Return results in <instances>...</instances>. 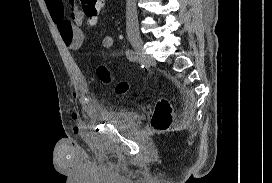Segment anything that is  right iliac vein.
<instances>
[{
    "instance_id": "1",
    "label": "right iliac vein",
    "mask_w": 272,
    "mask_h": 183,
    "mask_svg": "<svg viewBox=\"0 0 272 183\" xmlns=\"http://www.w3.org/2000/svg\"><path fill=\"white\" fill-rule=\"evenodd\" d=\"M129 41L134 48V50L137 52L139 55V58L141 61L146 60V56L144 54V49H143V40L137 31H130L128 34Z\"/></svg>"
}]
</instances>
